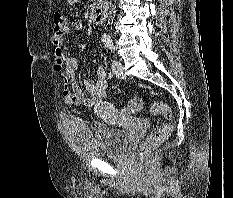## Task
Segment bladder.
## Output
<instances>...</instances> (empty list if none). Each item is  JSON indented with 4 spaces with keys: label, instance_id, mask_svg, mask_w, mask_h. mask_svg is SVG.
Here are the masks:
<instances>
[{
    "label": "bladder",
    "instance_id": "bladder-1",
    "mask_svg": "<svg viewBox=\"0 0 233 198\" xmlns=\"http://www.w3.org/2000/svg\"><path fill=\"white\" fill-rule=\"evenodd\" d=\"M69 135L78 151L91 156L121 157L131 140L127 130L88 124L80 119L71 120Z\"/></svg>",
    "mask_w": 233,
    "mask_h": 198
}]
</instances>
